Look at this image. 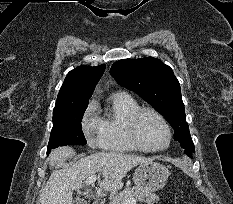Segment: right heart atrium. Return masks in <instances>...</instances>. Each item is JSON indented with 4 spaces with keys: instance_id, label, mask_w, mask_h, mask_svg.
<instances>
[{
    "instance_id": "obj_1",
    "label": "right heart atrium",
    "mask_w": 233,
    "mask_h": 204,
    "mask_svg": "<svg viewBox=\"0 0 233 204\" xmlns=\"http://www.w3.org/2000/svg\"><path fill=\"white\" fill-rule=\"evenodd\" d=\"M81 129L90 148H103L101 123L96 114V108L93 103H90L83 113L81 119Z\"/></svg>"
}]
</instances>
